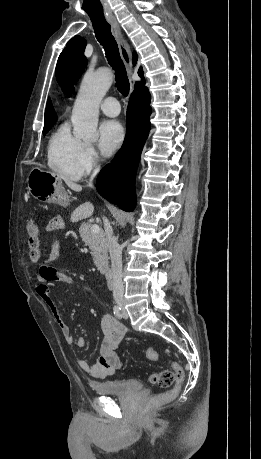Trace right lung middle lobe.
<instances>
[{
    "instance_id": "right-lung-middle-lobe-1",
    "label": "right lung middle lobe",
    "mask_w": 261,
    "mask_h": 459,
    "mask_svg": "<svg viewBox=\"0 0 261 459\" xmlns=\"http://www.w3.org/2000/svg\"><path fill=\"white\" fill-rule=\"evenodd\" d=\"M52 125H53L52 123H50V124H44V129H43L44 135H45L46 133L49 132V130H50V128H51Z\"/></svg>"
}]
</instances>
